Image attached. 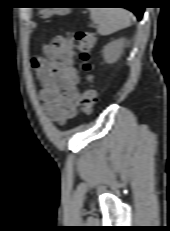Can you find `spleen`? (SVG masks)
Wrapping results in <instances>:
<instances>
[{
    "label": "spleen",
    "mask_w": 170,
    "mask_h": 231,
    "mask_svg": "<svg viewBox=\"0 0 170 231\" xmlns=\"http://www.w3.org/2000/svg\"><path fill=\"white\" fill-rule=\"evenodd\" d=\"M91 19L98 24V33L106 36L130 26L131 15L122 8H91Z\"/></svg>",
    "instance_id": "3e777b00"
}]
</instances>
